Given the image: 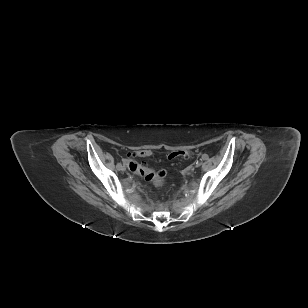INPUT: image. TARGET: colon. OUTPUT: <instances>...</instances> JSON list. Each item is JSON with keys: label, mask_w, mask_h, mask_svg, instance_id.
Wrapping results in <instances>:
<instances>
[{"label": "colon", "mask_w": 308, "mask_h": 308, "mask_svg": "<svg viewBox=\"0 0 308 308\" xmlns=\"http://www.w3.org/2000/svg\"><path fill=\"white\" fill-rule=\"evenodd\" d=\"M151 155V151L149 150H140L136 153V156L138 157H149ZM185 158L189 159L192 157V152L189 150H181V151H175L171 152L168 155L169 159H175V158ZM128 162V159L126 160ZM129 169L134 174L144 178L146 181L152 182L155 185H162L165 182L166 179V172L163 170H153L146 165L131 161L129 163Z\"/></svg>", "instance_id": "1"}]
</instances>
